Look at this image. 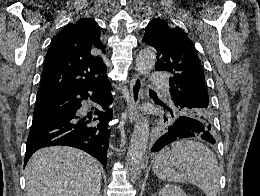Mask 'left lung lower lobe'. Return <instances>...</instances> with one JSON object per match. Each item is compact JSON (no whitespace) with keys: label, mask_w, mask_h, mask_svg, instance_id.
Segmentation results:
<instances>
[{"label":"left lung lower lobe","mask_w":260,"mask_h":196,"mask_svg":"<svg viewBox=\"0 0 260 196\" xmlns=\"http://www.w3.org/2000/svg\"><path fill=\"white\" fill-rule=\"evenodd\" d=\"M201 136L202 139L214 144L215 139L212 134V127L204 123L191 119L181 118L171 123L167 131L156 141L152 151H160L167 144L187 137Z\"/></svg>","instance_id":"1"}]
</instances>
